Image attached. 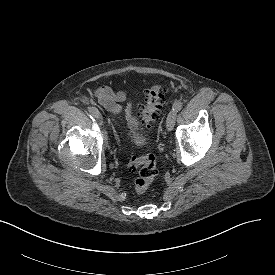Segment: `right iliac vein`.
I'll return each instance as SVG.
<instances>
[{"label":"right iliac vein","instance_id":"obj_1","mask_svg":"<svg viewBox=\"0 0 275 275\" xmlns=\"http://www.w3.org/2000/svg\"><path fill=\"white\" fill-rule=\"evenodd\" d=\"M94 117L100 124L103 122V117L99 111H97Z\"/></svg>","mask_w":275,"mask_h":275}]
</instances>
